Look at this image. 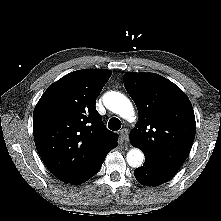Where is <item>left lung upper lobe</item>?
Masks as SVG:
<instances>
[{
	"instance_id": "left-lung-upper-lobe-1",
	"label": "left lung upper lobe",
	"mask_w": 221,
	"mask_h": 221,
	"mask_svg": "<svg viewBox=\"0 0 221 221\" xmlns=\"http://www.w3.org/2000/svg\"><path fill=\"white\" fill-rule=\"evenodd\" d=\"M124 86L139 112L136 128L130 132L132 145L156 164L179 170L189 155L196 131L188 97L155 73H128Z\"/></svg>"
}]
</instances>
